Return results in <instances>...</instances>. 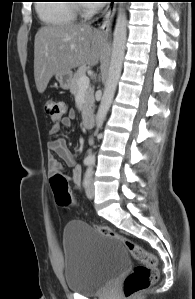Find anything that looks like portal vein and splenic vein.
Listing matches in <instances>:
<instances>
[{"mask_svg": "<svg viewBox=\"0 0 195 299\" xmlns=\"http://www.w3.org/2000/svg\"><path fill=\"white\" fill-rule=\"evenodd\" d=\"M89 84H90V80H89V78L86 75L80 77V79L78 81V85H79L80 89H86V88H88Z\"/></svg>", "mask_w": 195, "mask_h": 299, "instance_id": "1", "label": "portal vein and splenic vein"}]
</instances>
